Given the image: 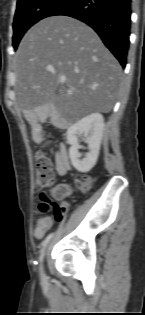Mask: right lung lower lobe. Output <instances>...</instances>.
<instances>
[{"mask_svg":"<svg viewBox=\"0 0 145 315\" xmlns=\"http://www.w3.org/2000/svg\"><path fill=\"white\" fill-rule=\"evenodd\" d=\"M66 15L91 26L125 67L129 49L131 0H68L51 16Z\"/></svg>","mask_w":145,"mask_h":315,"instance_id":"1","label":"right lung lower lobe"}]
</instances>
